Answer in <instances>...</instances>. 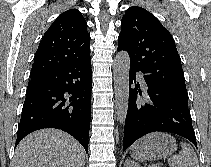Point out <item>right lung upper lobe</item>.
Instances as JSON below:
<instances>
[{
  "instance_id": "1",
  "label": "right lung upper lobe",
  "mask_w": 211,
  "mask_h": 167,
  "mask_svg": "<svg viewBox=\"0 0 211 167\" xmlns=\"http://www.w3.org/2000/svg\"><path fill=\"white\" fill-rule=\"evenodd\" d=\"M89 58L87 23L77 9L67 10L45 32L35 53L30 76L32 78Z\"/></svg>"
}]
</instances>
